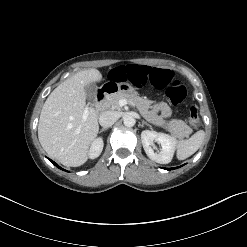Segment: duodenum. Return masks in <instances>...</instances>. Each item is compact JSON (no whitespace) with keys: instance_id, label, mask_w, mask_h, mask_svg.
<instances>
[{"instance_id":"obj_1","label":"duodenum","mask_w":247,"mask_h":247,"mask_svg":"<svg viewBox=\"0 0 247 247\" xmlns=\"http://www.w3.org/2000/svg\"><path fill=\"white\" fill-rule=\"evenodd\" d=\"M115 91L116 87L112 84L105 85L104 87L99 89L95 98L96 107L101 110L103 107V101L105 100L106 96Z\"/></svg>"}]
</instances>
